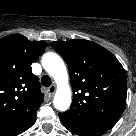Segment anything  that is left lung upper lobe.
Returning <instances> with one entry per match:
<instances>
[{"mask_svg":"<svg viewBox=\"0 0 136 136\" xmlns=\"http://www.w3.org/2000/svg\"><path fill=\"white\" fill-rule=\"evenodd\" d=\"M51 45L65 59L73 89L70 109L59 116L117 122L127 98L126 74L117 58L84 39L54 41Z\"/></svg>","mask_w":136,"mask_h":136,"instance_id":"1","label":"left lung upper lobe"}]
</instances>
